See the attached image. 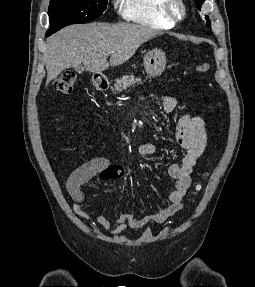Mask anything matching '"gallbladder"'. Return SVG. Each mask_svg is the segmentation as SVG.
<instances>
[{
	"label": "gallbladder",
	"mask_w": 255,
	"mask_h": 287,
	"mask_svg": "<svg viewBox=\"0 0 255 287\" xmlns=\"http://www.w3.org/2000/svg\"><path fill=\"white\" fill-rule=\"evenodd\" d=\"M75 72H78V74H82L84 72V68H81V66H78V68H74Z\"/></svg>",
	"instance_id": "bac80fb5"
}]
</instances>
